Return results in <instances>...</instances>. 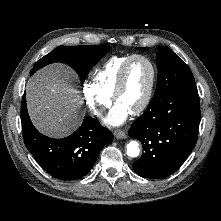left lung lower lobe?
I'll return each mask as SVG.
<instances>
[{
  "label": "left lung lower lobe",
  "instance_id": "1",
  "mask_svg": "<svg viewBox=\"0 0 221 221\" xmlns=\"http://www.w3.org/2000/svg\"><path fill=\"white\" fill-rule=\"evenodd\" d=\"M199 120L196 85L150 101L146 111L129 129V136L139 139L143 146L142 156L133 164L136 174L159 179L178 170L197 140Z\"/></svg>",
  "mask_w": 221,
  "mask_h": 221
}]
</instances>
